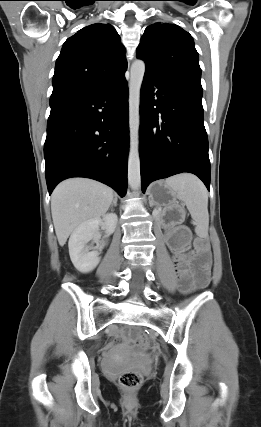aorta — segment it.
Instances as JSON below:
<instances>
[{"mask_svg":"<svg viewBox=\"0 0 261 427\" xmlns=\"http://www.w3.org/2000/svg\"><path fill=\"white\" fill-rule=\"evenodd\" d=\"M145 73V63L135 60L130 69L129 81V137L130 147L128 156V183L132 190L137 191L141 186L140 156H139V127H140V91Z\"/></svg>","mask_w":261,"mask_h":427,"instance_id":"1","label":"aorta"}]
</instances>
